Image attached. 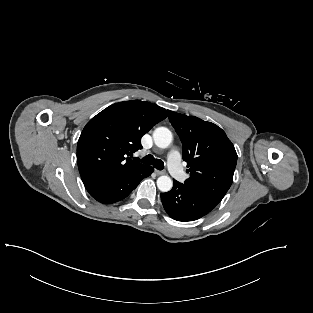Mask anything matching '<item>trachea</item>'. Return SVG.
Masks as SVG:
<instances>
[{
  "mask_svg": "<svg viewBox=\"0 0 313 313\" xmlns=\"http://www.w3.org/2000/svg\"><path fill=\"white\" fill-rule=\"evenodd\" d=\"M141 162L144 164L153 165L158 170H162L164 168V162L160 159H155L150 154L142 158Z\"/></svg>",
  "mask_w": 313,
  "mask_h": 313,
  "instance_id": "trachea-1",
  "label": "trachea"
}]
</instances>
